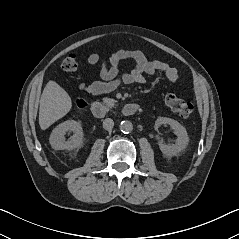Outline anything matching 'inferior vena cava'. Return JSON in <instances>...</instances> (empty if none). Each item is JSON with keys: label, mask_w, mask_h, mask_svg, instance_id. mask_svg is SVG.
I'll use <instances>...</instances> for the list:
<instances>
[{"label": "inferior vena cava", "mask_w": 239, "mask_h": 239, "mask_svg": "<svg viewBox=\"0 0 239 239\" xmlns=\"http://www.w3.org/2000/svg\"><path fill=\"white\" fill-rule=\"evenodd\" d=\"M113 126H114V121L111 118L104 119V121H103V128L105 130H108V131L112 130Z\"/></svg>", "instance_id": "602c4592"}]
</instances>
